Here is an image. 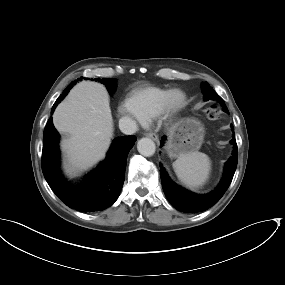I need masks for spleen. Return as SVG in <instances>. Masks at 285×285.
Wrapping results in <instances>:
<instances>
[{"label":"spleen","mask_w":285,"mask_h":285,"mask_svg":"<svg viewBox=\"0 0 285 285\" xmlns=\"http://www.w3.org/2000/svg\"><path fill=\"white\" fill-rule=\"evenodd\" d=\"M174 171L179 180L191 189H198L209 179L211 160L202 152H191L180 155L173 162Z\"/></svg>","instance_id":"obj_1"}]
</instances>
